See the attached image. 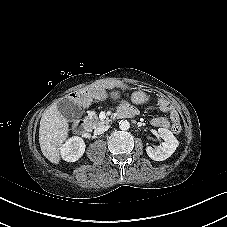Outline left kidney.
I'll use <instances>...</instances> for the list:
<instances>
[{"mask_svg": "<svg viewBox=\"0 0 227 227\" xmlns=\"http://www.w3.org/2000/svg\"><path fill=\"white\" fill-rule=\"evenodd\" d=\"M158 133L164 142L156 148H152L150 146L146 147V153L154 161H163L174 153L179 142L173 133L168 129L159 128Z\"/></svg>", "mask_w": 227, "mask_h": 227, "instance_id": "1", "label": "left kidney"}]
</instances>
